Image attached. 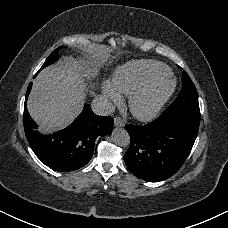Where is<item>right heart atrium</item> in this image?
<instances>
[{
    "label": "right heart atrium",
    "mask_w": 228,
    "mask_h": 228,
    "mask_svg": "<svg viewBox=\"0 0 228 228\" xmlns=\"http://www.w3.org/2000/svg\"><path fill=\"white\" fill-rule=\"evenodd\" d=\"M103 96L116 104L122 101L119 90L109 82L103 84Z\"/></svg>",
    "instance_id": "1"
}]
</instances>
